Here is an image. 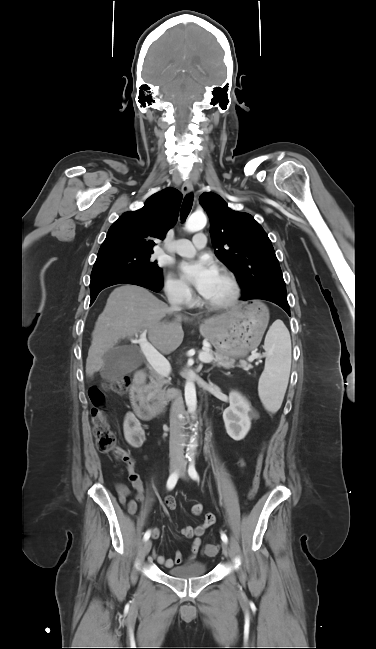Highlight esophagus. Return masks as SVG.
Listing matches in <instances>:
<instances>
[{"label": "esophagus", "mask_w": 376, "mask_h": 649, "mask_svg": "<svg viewBox=\"0 0 376 649\" xmlns=\"http://www.w3.org/2000/svg\"><path fill=\"white\" fill-rule=\"evenodd\" d=\"M193 191V184L190 181H186L182 185V193L183 194H188Z\"/></svg>", "instance_id": "esophagus-1"}]
</instances>
